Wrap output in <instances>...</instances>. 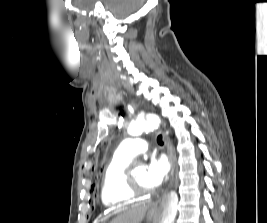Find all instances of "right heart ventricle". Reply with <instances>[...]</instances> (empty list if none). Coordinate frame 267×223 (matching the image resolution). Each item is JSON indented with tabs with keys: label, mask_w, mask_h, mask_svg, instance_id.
Returning a JSON list of instances; mask_svg holds the SVG:
<instances>
[{
	"label": "right heart ventricle",
	"mask_w": 267,
	"mask_h": 223,
	"mask_svg": "<svg viewBox=\"0 0 267 223\" xmlns=\"http://www.w3.org/2000/svg\"><path fill=\"white\" fill-rule=\"evenodd\" d=\"M130 159L114 154L105 168L101 184V201L110 211L119 210L132 202L126 188Z\"/></svg>",
	"instance_id": "obj_1"
}]
</instances>
